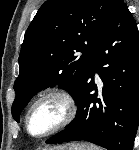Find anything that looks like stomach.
<instances>
[{
    "mask_svg": "<svg viewBox=\"0 0 139 150\" xmlns=\"http://www.w3.org/2000/svg\"><path fill=\"white\" fill-rule=\"evenodd\" d=\"M49 150H86V149L83 147V145L70 143V144L57 146L55 148H51Z\"/></svg>",
    "mask_w": 139,
    "mask_h": 150,
    "instance_id": "1",
    "label": "stomach"
}]
</instances>
